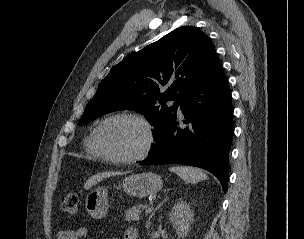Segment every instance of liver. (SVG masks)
Here are the masks:
<instances>
[{"instance_id":"obj_1","label":"liver","mask_w":304,"mask_h":239,"mask_svg":"<svg viewBox=\"0 0 304 239\" xmlns=\"http://www.w3.org/2000/svg\"><path fill=\"white\" fill-rule=\"evenodd\" d=\"M123 172H113V171H109V172H102V173H98L96 175H93L91 178H89L85 185H84V189L88 190L90 188H92L94 185H96L97 183H99L100 181H102L103 179L110 177V176H116V175H123Z\"/></svg>"}]
</instances>
